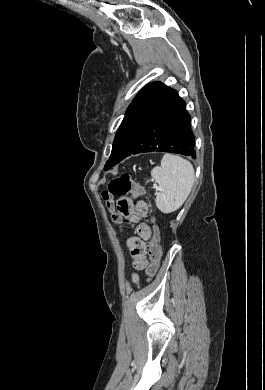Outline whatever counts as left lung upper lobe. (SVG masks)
Here are the masks:
<instances>
[{
    "label": "left lung upper lobe",
    "instance_id": "left-lung-upper-lobe-1",
    "mask_svg": "<svg viewBox=\"0 0 265 390\" xmlns=\"http://www.w3.org/2000/svg\"><path fill=\"white\" fill-rule=\"evenodd\" d=\"M162 86L161 82H153L146 85L133 99L126 110L125 117L117 130L113 142L112 152L104 169L108 170L116 165L123 152L126 150L136 127L142 109L152 99L154 94Z\"/></svg>",
    "mask_w": 265,
    "mask_h": 390
}]
</instances>
